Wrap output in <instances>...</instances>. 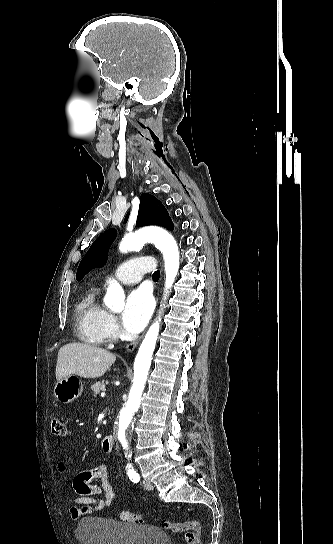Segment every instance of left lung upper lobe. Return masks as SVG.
<instances>
[{"label": "left lung upper lobe", "mask_w": 333, "mask_h": 544, "mask_svg": "<svg viewBox=\"0 0 333 544\" xmlns=\"http://www.w3.org/2000/svg\"><path fill=\"white\" fill-rule=\"evenodd\" d=\"M128 214L125 217V222ZM137 226L159 225L173 230L174 225L164 205L150 194H142L140 199ZM116 236L115 229H109L90 247L80 262L76 279L81 280L85 274L95 267H102L106 262L107 251Z\"/></svg>", "instance_id": "5c2ea615"}]
</instances>
